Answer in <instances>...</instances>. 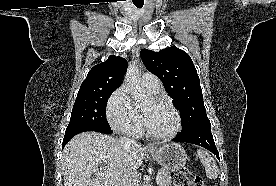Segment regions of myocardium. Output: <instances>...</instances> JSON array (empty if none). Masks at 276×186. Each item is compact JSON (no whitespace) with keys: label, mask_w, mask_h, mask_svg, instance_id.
<instances>
[{"label":"myocardium","mask_w":276,"mask_h":186,"mask_svg":"<svg viewBox=\"0 0 276 186\" xmlns=\"http://www.w3.org/2000/svg\"><path fill=\"white\" fill-rule=\"evenodd\" d=\"M153 102L156 103V104H163V105H167L168 107H170L173 110V112L175 113V115H176L177 124H176L175 129L171 133H168V134H156V133L152 132L148 128V126L146 124V121H145V118L141 114V125H142L143 132L147 136H149V137H151L153 139H158V140H169V139L174 138L181 131V128H182L181 113L176 108V106L170 100H168L166 98L156 97V98H153Z\"/></svg>","instance_id":"1"}]
</instances>
